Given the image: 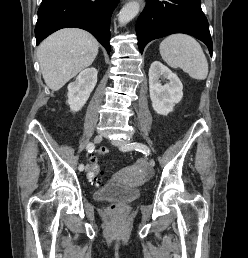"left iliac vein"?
<instances>
[{
    "label": "left iliac vein",
    "mask_w": 248,
    "mask_h": 258,
    "mask_svg": "<svg viewBox=\"0 0 248 258\" xmlns=\"http://www.w3.org/2000/svg\"><path fill=\"white\" fill-rule=\"evenodd\" d=\"M113 145L117 146V147H126L129 142L127 140H124V139H116V140H112L111 141ZM149 165H150V168L152 169L154 166H155V161L154 159H150L149 161Z\"/></svg>",
    "instance_id": "obj_1"
}]
</instances>
